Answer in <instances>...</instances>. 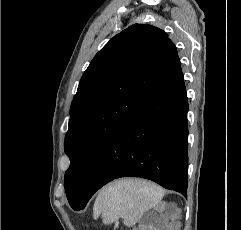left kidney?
I'll use <instances>...</instances> for the list:
<instances>
[{
    "label": "left kidney",
    "instance_id": "left-kidney-1",
    "mask_svg": "<svg viewBox=\"0 0 241 230\" xmlns=\"http://www.w3.org/2000/svg\"><path fill=\"white\" fill-rule=\"evenodd\" d=\"M140 229L141 230H147V228L145 226H142ZM134 230H138V229H134Z\"/></svg>",
    "mask_w": 241,
    "mask_h": 230
}]
</instances>
